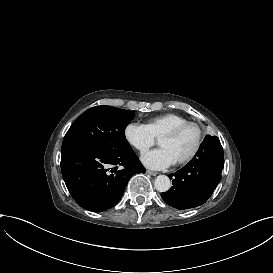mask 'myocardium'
Listing matches in <instances>:
<instances>
[{
  "instance_id": "f54148a6",
  "label": "myocardium",
  "mask_w": 273,
  "mask_h": 273,
  "mask_svg": "<svg viewBox=\"0 0 273 273\" xmlns=\"http://www.w3.org/2000/svg\"><path fill=\"white\" fill-rule=\"evenodd\" d=\"M192 127H195L197 129V136H196L194 146H193L192 150L190 151V153L185 158L176 162L178 165H184V164L189 163L199 153L200 148H201V144H202L203 134H204L202 126L200 124H198L197 122L189 121L182 126H179V127L173 128L167 132H164L159 137V140L162 138L174 137V136H177V135L181 134L182 132H184L185 130L192 128Z\"/></svg>"
}]
</instances>
